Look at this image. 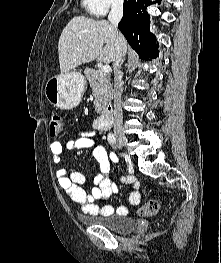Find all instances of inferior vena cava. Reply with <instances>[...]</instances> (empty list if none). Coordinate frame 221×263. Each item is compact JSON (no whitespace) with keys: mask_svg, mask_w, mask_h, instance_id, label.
Wrapping results in <instances>:
<instances>
[{"mask_svg":"<svg viewBox=\"0 0 221 263\" xmlns=\"http://www.w3.org/2000/svg\"><path fill=\"white\" fill-rule=\"evenodd\" d=\"M123 15V0H112L111 11L108 15V20L113 25L116 33L115 41V54L113 58V68L115 73V85H114V135L116 138H124L123 133V113L121 107V93L122 87L120 84L122 78V72L120 71L122 64L123 48L125 45L124 37L118 31L117 26Z\"/></svg>","mask_w":221,"mask_h":263,"instance_id":"inferior-vena-cava-1","label":"inferior vena cava"}]
</instances>
